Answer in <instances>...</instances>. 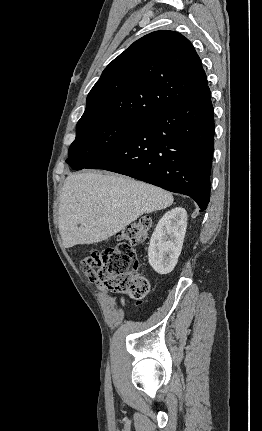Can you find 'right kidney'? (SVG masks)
<instances>
[{
    "instance_id": "obj_1",
    "label": "right kidney",
    "mask_w": 262,
    "mask_h": 431,
    "mask_svg": "<svg viewBox=\"0 0 262 431\" xmlns=\"http://www.w3.org/2000/svg\"><path fill=\"white\" fill-rule=\"evenodd\" d=\"M187 227V212L177 207L159 220L150 239L148 260L159 274L170 273L177 264Z\"/></svg>"
}]
</instances>
